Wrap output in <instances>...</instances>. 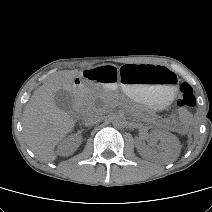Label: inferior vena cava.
I'll return each mask as SVG.
<instances>
[{"mask_svg": "<svg viewBox=\"0 0 212 212\" xmlns=\"http://www.w3.org/2000/svg\"><path fill=\"white\" fill-rule=\"evenodd\" d=\"M102 119L103 117L96 110H91L84 115L83 122L85 126H91L99 123Z\"/></svg>", "mask_w": 212, "mask_h": 212, "instance_id": "1", "label": "inferior vena cava"}]
</instances>
